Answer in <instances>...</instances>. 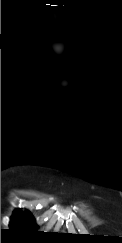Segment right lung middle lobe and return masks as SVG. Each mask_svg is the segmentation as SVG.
I'll use <instances>...</instances> for the list:
<instances>
[{
  "instance_id": "dd1d6c3e",
  "label": "right lung middle lobe",
  "mask_w": 122,
  "mask_h": 243,
  "mask_svg": "<svg viewBox=\"0 0 122 243\" xmlns=\"http://www.w3.org/2000/svg\"><path fill=\"white\" fill-rule=\"evenodd\" d=\"M36 224L33 216L28 211L16 209L11 217L10 231L18 235L33 234L36 232Z\"/></svg>"
}]
</instances>
